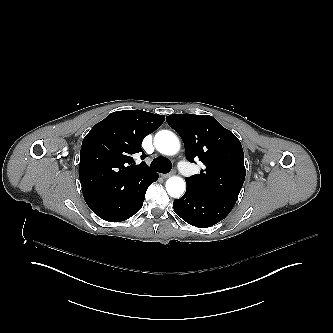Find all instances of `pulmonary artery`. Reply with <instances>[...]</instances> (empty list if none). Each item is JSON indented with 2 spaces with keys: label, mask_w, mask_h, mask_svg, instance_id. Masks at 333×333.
I'll return each mask as SVG.
<instances>
[{
  "label": "pulmonary artery",
  "mask_w": 333,
  "mask_h": 333,
  "mask_svg": "<svg viewBox=\"0 0 333 333\" xmlns=\"http://www.w3.org/2000/svg\"><path fill=\"white\" fill-rule=\"evenodd\" d=\"M176 169L178 171H184V173L187 174V175L192 174L193 171H194V168H193L192 165H190V164L186 165L184 162H178L176 164Z\"/></svg>",
  "instance_id": "e3ab8cb5"
}]
</instances>
